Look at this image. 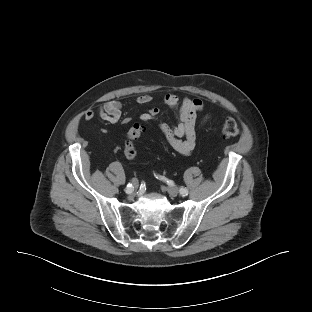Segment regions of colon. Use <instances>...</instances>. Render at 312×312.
I'll list each match as a JSON object with an SVG mask.
<instances>
[{"label":"colon","mask_w":312,"mask_h":312,"mask_svg":"<svg viewBox=\"0 0 312 312\" xmlns=\"http://www.w3.org/2000/svg\"><path fill=\"white\" fill-rule=\"evenodd\" d=\"M144 130V127L140 123H134L127 132V139L124 146V155L128 159H133L137 155V150L135 147V140L140 137ZM223 134L226 137H236L240 134V128L236 121L228 118L224 121L222 127Z\"/></svg>","instance_id":"obj_1"}]
</instances>
